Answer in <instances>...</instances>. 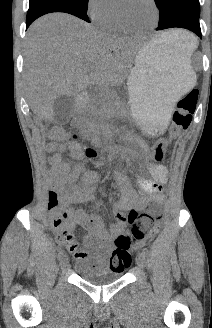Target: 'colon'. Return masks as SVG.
<instances>
[{"instance_id": "colon-1", "label": "colon", "mask_w": 212, "mask_h": 328, "mask_svg": "<svg viewBox=\"0 0 212 328\" xmlns=\"http://www.w3.org/2000/svg\"><path fill=\"white\" fill-rule=\"evenodd\" d=\"M198 102V91L193 89L180 98L177 108L172 116V122L168 136L156 141L152 150V157L156 163H160L165 156L171 142L183 131L187 130L192 122L193 115ZM66 138L65 132L61 128H54L50 132V139L54 144H59ZM96 154L92 148L86 149L88 157H94ZM57 206V195L55 192L49 194V208ZM65 217V215L63 216ZM63 217L57 216L53 224L59 229L58 238L66 247L76 256H80L81 250L75 239L73 232L69 228H62ZM162 217V210L158 203L147 205L142 211L131 210L128 215V221L132 224L131 231L119 235L115 240L116 249L111 256V263L117 262L120 268H128L131 265L130 250L145 243L150 237L155 235L159 229V222ZM140 218L147 219L144 224L137 223Z\"/></svg>"}]
</instances>
